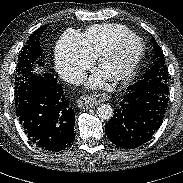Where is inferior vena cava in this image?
<instances>
[{
  "label": "inferior vena cava",
  "mask_w": 183,
  "mask_h": 183,
  "mask_svg": "<svg viewBox=\"0 0 183 183\" xmlns=\"http://www.w3.org/2000/svg\"><path fill=\"white\" fill-rule=\"evenodd\" d=\"M83 75L84 73L82 70L73 69L67 72V74L65 75V79L67 82H70V83H78L83 78Z\"/></svg>",
  "instance_id": "inferior-vena-cava-1"
}]
</instances>
